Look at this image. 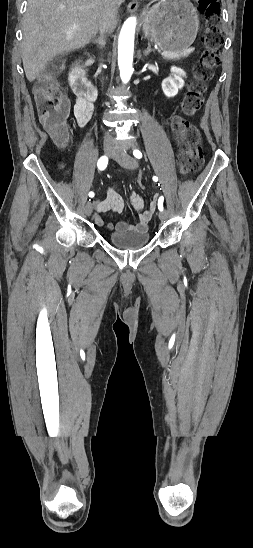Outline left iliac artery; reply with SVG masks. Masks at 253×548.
<instances>
[{
  "instance_id": "obj_1",
  "label": "left iliac artery",
  "mask_w": 253,
  "mask_h": 548,
  "mask_svg": "<svg viewBox=\"0 0 253 548\" xmlns=\"http://www.w3.org/2000/svg\"><path fill=\"white\" fill-rule=\"evenodd\" d=\"M133 155H134L136 158H138V159H140V158L142 157V153H141L139 150H137V149H135V150L133 151ZM153 180H154V181H158V177L153 176ZM163 201H164V198H163V196H161V197L159 198V200H158V209H159L160 211H163Z\"/></svg>"
}]
</instances>
